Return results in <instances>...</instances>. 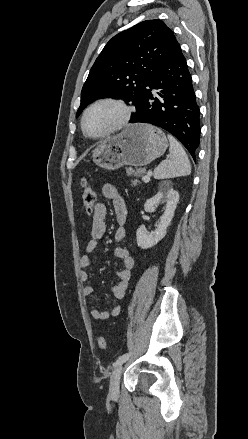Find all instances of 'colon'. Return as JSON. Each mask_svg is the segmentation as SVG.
<instances>
[{
    "instance_id": "colon-1",
    "label": "colon",
    "mask_w": 248,
    "mask_h": 439,
    "mask_svg": "<svg viewBox=\"0 0 248 439\" xmlns=\"http://www.w3.org/2000/svg\"><path fill=\"white\" fill-rule=\"evenodd\" d=\"M82 187H83V192H82L83 206L85 208V211L88 214H91L95 208L96 194L87 179L82 180ZM97 343L101 350L103 351L108 350L107 341L103 336L98 337Z\"/></svg>"
}]
</instances>
